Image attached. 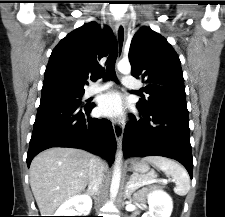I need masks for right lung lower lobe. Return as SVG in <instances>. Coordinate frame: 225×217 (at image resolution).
<instances>
[{
	"label": "right lung lower lobe",
	"instance_id": "obj_1",
	"mask_svg": "<svg viewBox=\"0 0 225 217\" xmlns=\"http://www.w3.org/2000/svg\"><path fill=\"white\" fill-rule=\"evenodd\" d=\"M94 107V103L84 107L40 104L27 153L28 167L33 157L51 147L81 148L113 163L116 139L112 125L104 119L86 117Z\"/></svg>",
	"mask_w": 225,
	"mask_h": 217
}]
</instances>
